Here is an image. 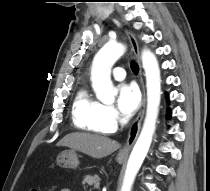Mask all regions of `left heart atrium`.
<instances>
[{
	"label": "left heart atrium",
	"instance_id": "obj_1",
	"mask_svg": "<svg viewBox=\"0 0 210 191\" xmlns=\"http://www.w3.org/2000/svg\"><path fill=\"white\" fill-rule=\"evenodd\" d=\"M118 108L124 116L133 115L138 109L141 95L138 88L133 84L123 83L118 88Z\"/></svg>",
	"mask_w": 210,
	"mask_h": 191
}]
</instances>
